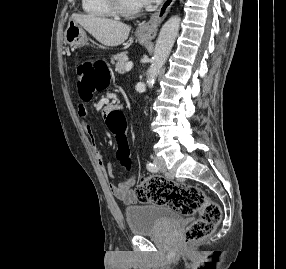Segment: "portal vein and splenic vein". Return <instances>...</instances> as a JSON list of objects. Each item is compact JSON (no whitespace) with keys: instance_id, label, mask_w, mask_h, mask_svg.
Segmentation results:
<instances>
[{"instance_id":"obj_1","label":"portal vein and splenic vein","mask_w":286,"mask_h":269,"mask_svg":"<svg viewBox=\"0 0 286 269\" xmlns=\"http://www.w3.org/2000/svg\"><path fill=\"white\" fill-rule=\"evenodd\" d=\"M132 67H133V63L132 62H128L126 64L125 71H130L132 69Z\"/></svg>"}]
</instances>
